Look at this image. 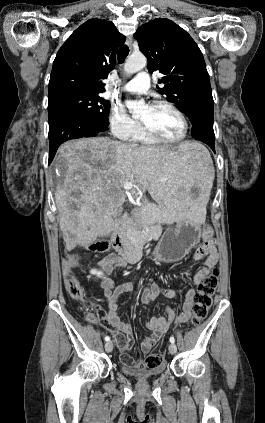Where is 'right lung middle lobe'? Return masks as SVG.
Wrapping results in <instances>:
<instances>
[{"label": "right lung middle lobe", "mask_w": 265, "mask_h": 423, "mask_svg": "<svg viewBox=\"0 0 265 423\" xmlns=\"http://www.w3.org/2000/svg\"><path fill=\"white\" fill-rule=\"evenodd\" d=\"M48 114L67 110L79 112L82 115L108 127L110 102L99 94L68 91L48 97Z\"/></svg>", "instance_id": "obj_1"}]
</instances>
